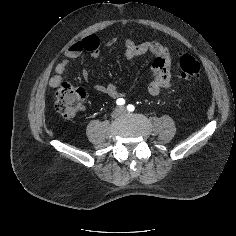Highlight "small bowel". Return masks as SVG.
Returning a JSON list of instances; mask_svg holds the SVG:
<instances>
[{
	"label": "small bowel",
	"instance_id": "small-bowel-1",
	"mask_svg": "<svg viewBox=\"0 0 236 236\" xmlns=\"http://www.w3.org/2000/svg\"><path fill=\"white\" fill-rule=\"evenodd\" d=\"M114 44V39L106 41V46ZM101 40L97 35L91 34L85 38L74 42L66 51L65 57L55 67L54 74L49 80L52 88H58L64 83L63 76L69 66V63L80 57L84 52L90 53L93 58H98L100 55ZM146 53H151L154 57L152 66V74L147 86L149 94L156 96L163 90L171 87L172 80V58L168 48L157 41H145L135 43L128 38L124 44V55L128 59H132ZM84 80L90 81V73L87 70L82 72ZM93 89L99 93H103L113 99L123 96L121 91L115 84H100L92 85Z\"/></svg>",
	"mask_w": 236,
	"mask_h": 236
}]
</instances>
